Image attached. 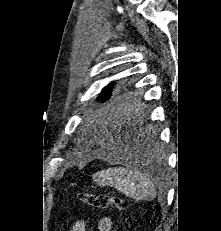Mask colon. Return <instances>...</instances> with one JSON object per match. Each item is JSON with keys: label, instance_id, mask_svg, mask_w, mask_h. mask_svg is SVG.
Masks as SVG:
<instances>
[{"label": "colon", "instance_id": "colon-1", "mask_svg": "<svg viewBox=\"0 0 221 231\" xmlns=\"http://www.w3.org/2000/svg\"><path fill=\"white\" fill-rule=\"evenodd\" d=\"M79 198L85 204L93 208L106 209L114 207L121 212H124L127 208L126 202L118 196L80 192Z\"/></svg>", "mask_w": 221, "mask_h": 231}]
</instances>
